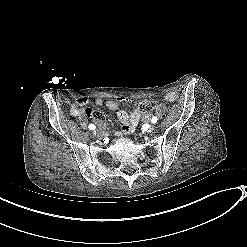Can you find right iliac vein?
I'll return each instance as SVG.
<instances>
[{"label":"right iliac vein","mask_w":247,"mask_h":247,"mask_svg":"<svg viewBox=\"0 0 247 247\" xmlns=\"http://www.w3.org/2000/svg\"><path fill=\"white\" fill-rule=\"evenodd\" d=\"M93 135L97 136V137H100V134L96 130L93 131Z\"/></svg>","instance_id":"obj_1"}]
</instances>
